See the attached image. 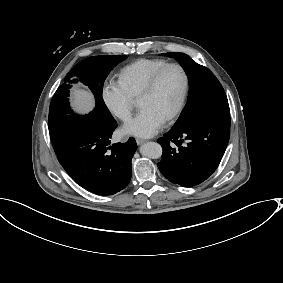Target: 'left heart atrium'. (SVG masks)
Returning a JSON list of instances; mask_svg holds the SVG:
<instances>
[{
    "instance_id": "1",
    "label": "left heart atrium",
    "mask_w": 283,
    "mask_h": 283,
    "mask_svg": "<svg viewBox=\"0 0 283 283\" xmlns=\"http://www.w3.org/2000/svg\"><path fill=\"white\" fill-rule=\"evenodd\" d=\"M164 119L148 108L139 109L136 116L121 129V135L150 137L162 127Z\"/></svg>"
}]
</instances>
